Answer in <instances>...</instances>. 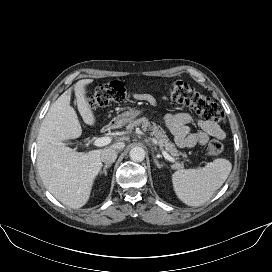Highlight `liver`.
I'll use <instances>...</instances> for the list:
<instances>
[{"instance_id":"1","label":"liver","mask_w":272,"mask_h":272,"mask_svg":"<svg viewBox=\"0 0 272 272\" xmlns=\"http://www.w3.org/2000/svg\"><path fill=\"white\" fill-rule=\"evenodd\" d=\"M92 79H83L74 86L76 104L83 121L90 126L96 122L86 97V86ZM72 89L65 91L49 108L37 137V167L48 191L64 205L78 209L90 197L94 181L102 168L101 149L88 153L76 152L62 142L78 138L81 126L70 106ZM123 142L110 146L122 150Z\"/></svg>"}]
</instances>
